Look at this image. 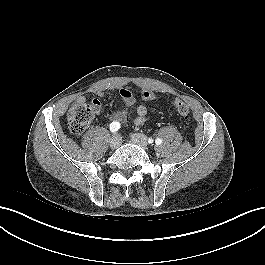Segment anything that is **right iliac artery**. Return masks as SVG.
Returning <instances> with one entry per match:
<instances>
[{"label":"right iliac artery","instance_id":"1","mask_svg":"<svg viewBox=\"0 0 265 265\" xmlns=\"http://www.w3.org/2000/svg\"><path fill=\"white\" fill-rule=\"evenodd\" d=\"M120 129V123L119 122H112L110 124V131L115 133Z\"/></svg>","mask_w":265,"mask_h":265}]
</instances>
